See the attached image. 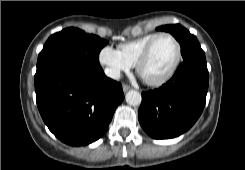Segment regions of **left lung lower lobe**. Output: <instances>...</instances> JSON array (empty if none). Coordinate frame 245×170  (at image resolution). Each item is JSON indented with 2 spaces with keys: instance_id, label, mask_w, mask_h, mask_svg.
Here are the masks:
<instances>
[{
  "instance_id": "1",
  "label": "left lung lower lobe",
  "mask_w": 245,
  "mask_h": 170,
  "mask_svg": "<svg viewBox=\"0 0 245 170\" xmlns=\"http://www.w3.org/2000/svg\"><path fill=\"white\" fill-rule=\"evenodd\" d=\"M208 91L206 62L183 61L159 89L142 93L138 111L144 131L154 139L177 137L197 121Z\"/></svg>"
}]
</instances>
